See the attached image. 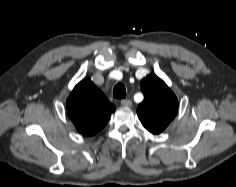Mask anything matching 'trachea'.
Listing matches in <instances>:
<instances>
[{
	"label": "trachea",
	"mask_w": 236,
	"mask_h": 187,
	"mask_svg": "<svg viewBox=\"0 0 236 187\" xmlns=\"http://www.w3.org/2000/svg\"><path fill=\"white\" fill-rule=\"evenodd\" d=\"M113 97L116 99H123L126 97V89L122 83H118L115 85L113 89Z\"/></svg>",
	"instance_id": "trachea-1"
}]
</instances>
